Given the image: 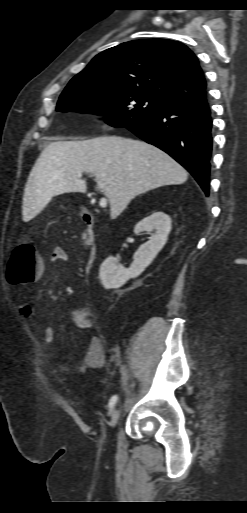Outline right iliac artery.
<instances>
[{"label": "right iliac artery", "instance_id": "obj_1", "mask_svg": "<svg viewBox=\"0 0 247 513\" xmlns=\"http://www.w3.org/2000/svg\"><path fill=\"white\" fill-rule=\"evenodd\" d=\"M118 399V396L117 395H114L111 397V399L109 400V408L112 409L116 403Z\"/></svg>", "mask_w": 247, "mask_h": 513}]
</instances>
